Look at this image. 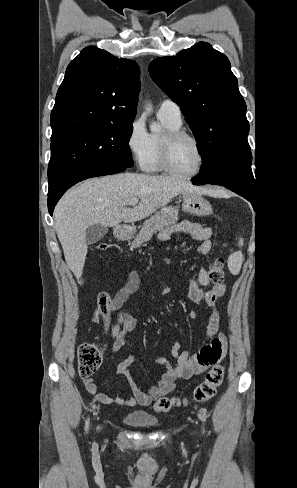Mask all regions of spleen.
I'll use <instances>...</instances> for the list:
<instances>
[{
	"label": "spleen",
	"instance_id": "3e777b00",
	"mask_svg": "<svg viewBox=\"0 0 297 488\" xmlns=\"http://www.w3.org/2000/svg\"><path fill=\"white\" fill-rule=\"evenodd\" d=\"M243 239L239 240V246L243 245ZM243 262V254L241 251L232 253L228 258V268L233 275L240 272Z\"/></svg>",
	"mask_w": 297,
	"mask_h": 488
}]
</instances>
